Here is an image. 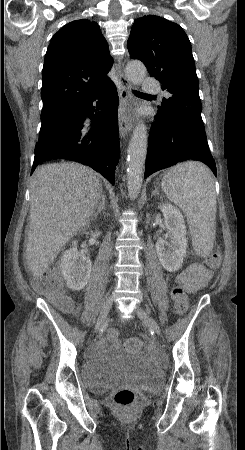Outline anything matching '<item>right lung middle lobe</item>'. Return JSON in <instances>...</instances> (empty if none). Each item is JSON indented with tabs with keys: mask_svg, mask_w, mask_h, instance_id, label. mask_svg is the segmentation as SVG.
<instances>
[{
	"mask_svg": "<svg viewBox=\"0 0 245 450\" xmlns=\"http://www.w3.org/2000/svg\"><path fill=\"white\" fill-rule=\"evenodd\" d=\"M59 111H61V110L42 112L41 113V121H42L41 128L45 127L47 125V122L50 119V117Z\"/></svg>",
	"mask_w": 245,
	"mask_h": 450,
	"instance_id": "obj_1",
	"label": "right lung middle lobe"
}]
</instances>
